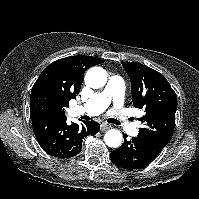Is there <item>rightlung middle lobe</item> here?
<instances>
[{"label": "right lung middle lobe", "instance_id": "obj_1", "mask_svg": "<svg viewBox=\"0 0 199 199\" xmlns=\"http://www.w3.org/2000/svg\"><path fill=\"white\" fill-rule=\"evenodd\" d=\"M34 107L38 112L48 114L54 109V101L49 96H39L35 100Z\"/></svg>", "mask_w": 199, "mask_h": 199}]
</instances>
